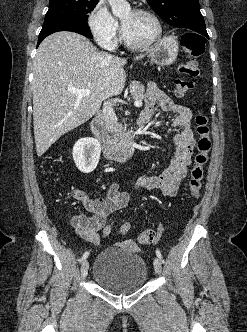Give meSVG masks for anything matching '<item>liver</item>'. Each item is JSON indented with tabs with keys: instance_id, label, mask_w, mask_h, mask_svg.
Returning a JSON list of instances; mask_svg holds the SVG:
<instances>
[{
	"instance_id": "6515ba94",
	"label": "liver",
	"mask_w": 247,
	"mask_h": 332,
	"mask_svg": "<svg viewBox=\"0 0 247 332\" xmlns=\"http://www.w3.org/2000/svg\"><path fill=\"white\" fill-rule=\"evenodd\" d=\"M142 56L134 58L140 60ZM127 60L98 52L84 36L68 31L45 38L34 60L33 123L37 155L62 135L84 124L106 99L121 94ZM71 89H89L77 96Z\"/></svg>"
}]
</instances>
